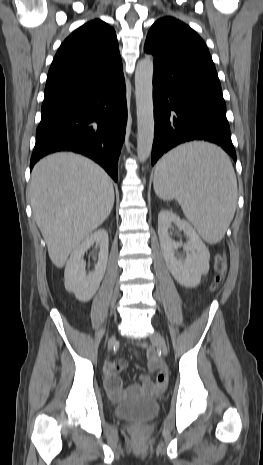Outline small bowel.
Wrapping results in <instances>:
<instances>
[{"label":"small bowel","instance_id":"small-bowel-1","mask_svg":"<svg viewBox=\"0 0 263 465\" xmlns=\"http://www.w3.org/2000/svg\"><path fill=\"white\" fill-rule=\"evenodd\" d=\"M125 366L126 363L122 360L108 362L105 365V387L114 399H121L126 394L130 393H157L166 385L167 374L164 370H160L155 381H152L148 375H143L141 385H132L128 388H124L119 373ZM156 368V364L152 363L151 370H155Z\"/></svg>","mask_w":263,"mask_h":465}]
</instances>
